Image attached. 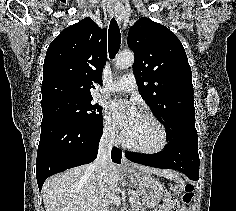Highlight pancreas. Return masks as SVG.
Masks as SVG:
<instances>
[{
  "label": "pancreas",
  "mask_w": 236,
  "mask_h": 211,
  "mask_svg": "<svg viewBox=\"0 0 236 211\" xmlns=\"http://www.w3.org/2000/svg\"><path fill=\"white\" fill-rule=\"evenodd\" d=\"M130 197L133 198V201L131 202V207L134 211H145V208L141 202V198L138 192H132L130 194Z\"/></svg>",
  "instance_id": "cf45deb5"
}]
</instances>
